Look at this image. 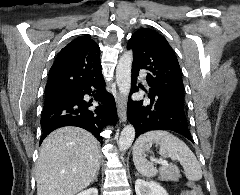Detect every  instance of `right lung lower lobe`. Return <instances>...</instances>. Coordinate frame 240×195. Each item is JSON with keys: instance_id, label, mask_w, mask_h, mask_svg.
<instances>
[{"instance_id": "98d812e1", "label": "right lung lower lobe", "mask_w": 240, "mask_h": 195, "mask_svg": "<svg viewBox=\"0 0 240 195\" xmlns=\"http://www.w3.org/2000/svg\"><path fill=\"white\" fill-rule=\"evenodd\" d=\"M86 94L94 97V104L93 100H84ZM116 121L114 98L106 91L103 76L77 88L50 91L45 93L40 144L50 132L63 126L84 128L102 144L101 131L107 125H115Z\"/></svg>"}]
</instances>
